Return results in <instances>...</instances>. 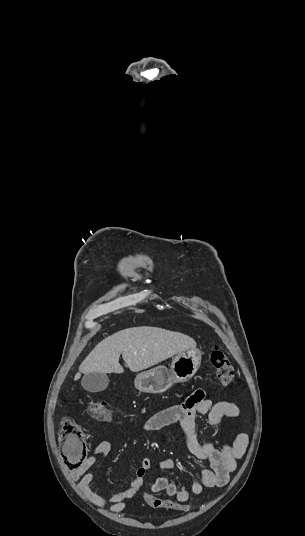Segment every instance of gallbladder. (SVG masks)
I'll return each instance as SVG.
<instances>
[{
  "label": "gallbladder",
  "mask_w": 305,
  "mask_h": 536,
  "mask_svg": "<svg viewBox=\"0 0 305 536\" xmlns=\"http://www.w3.org/2000/svg\"><path fill=\"white\" fill-rule=\"evenodd\" d=\"M109 378L106 374H97V372H92V374H85L81 380V386L87 392H103L108 388Z\"/></svg>",
  "instance_id": "bac80fb5"
}]
</instances>
